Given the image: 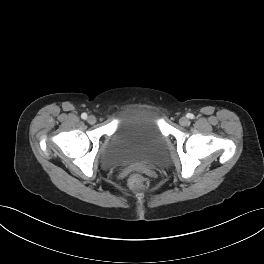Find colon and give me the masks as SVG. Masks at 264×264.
I'll use <instances>...</instances> for the list:
<instances>
[{
	"label": "colon",
	"instance_id": "1",
	"mask_svg": "<svg viewBox=\"0 0 264 264\" xmlns=\"http://www.w3.org/2000/svg\"><path fill=\"white\" fill-rule=\"evenodd\" d=\"M129 182L134 189L145 190L149 187V181L139 173H133Z\"/></svg>",
	"mask_w": 264,
	"mask_h": 264
}]
</instances>
